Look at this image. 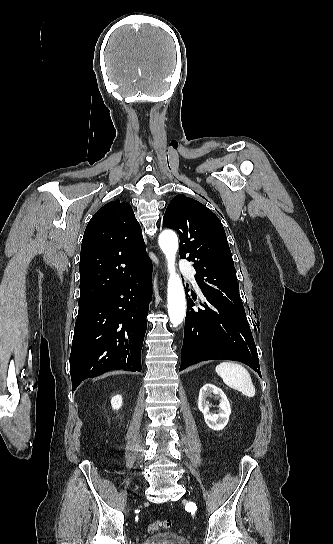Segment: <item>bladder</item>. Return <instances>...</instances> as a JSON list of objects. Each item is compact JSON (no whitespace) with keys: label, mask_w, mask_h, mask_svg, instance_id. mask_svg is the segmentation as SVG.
<instances>
[{"label":"bladder","mask_w":333,"mask_h":544,"mask_svg":"<svg viewBox=\"0 0 333 544\" xmlns=\"http://www.w3.org/2000/svg\"><path fill=\"white\" fill-rule=\"evenodd\" d=\"M142 544H190L183 535L176 532H160L147 537Z\"/></svg>","instance_id":"31cf9c89"}]
</instances>
